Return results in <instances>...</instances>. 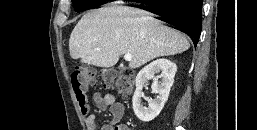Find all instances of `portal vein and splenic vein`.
<instances>
[{"label":"portal vein and splenic vein","instance_id":"1","mask_svg":"<svg viewBox=\"0 0 257 130\" xmlns=\"http://www.w3.org/2000/svg\"><path fill=\"white\" fill-rule=\"evenodd\" d=\"M124 59L126 60V61H132V59H133V57H132V55L131 54H125L124 55Z\"/></svg>","mask_w":257,"mask_h":130}]
</instances>
